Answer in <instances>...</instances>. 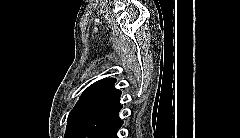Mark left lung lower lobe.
<instances>
[{
	"label": "left lung lower lobe",
	"mask_w": 240,
	"mask_h": 138,
	"mask_svg": "<svg viewBox=\"0 0 240 138\" xmlns=\"http://www.w3.org/2000/svg\"><path fill=\"white\" fill-rule=\"evenodd\" d=\"M120 96L121 91L118 90L91 119L78 138H118L117 132L123 124L118 116L122 109Z\"/></svg>",
	"instance_id": "1"
}]
</instances>
